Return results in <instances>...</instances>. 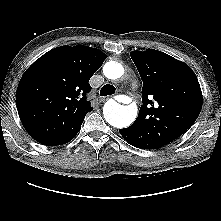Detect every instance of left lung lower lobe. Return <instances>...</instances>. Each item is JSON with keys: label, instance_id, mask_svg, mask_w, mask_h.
I'll list each match as a JSON object with an SVG mask.
<instances>
[{"label": "left lung lower lobe", "instance_id": "left-lung-lower-lobe-1", "mask_svg": "<svg viewBox=\"0 0 221 221\" xmlns=\"http://www.w3.org/2000/svg\"><path fill=\"white\" fill-rule=\"evenodd\" d=\"M119 132L128 143L130 144L133 143L134 134L132 130H130L129 128H124V129H120Z\"/></svg>", "mask_w": 221, "mask_h": 221}]
</instances>
